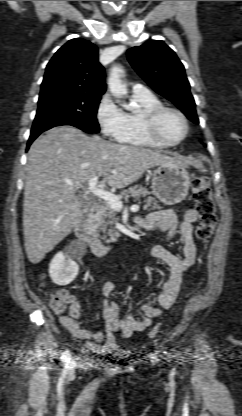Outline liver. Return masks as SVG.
I'll return each instance as SVG.
<instances>
[{
  "label": "liver",
  "instance_id": "obj_1",
  "mask_svg": "<svg viewBox=\"0 0 242 416\" xmlns=\"http://www.w3.org/2000/svg\"><path fill=\"white\" fill-rule=\"evenodd\" d=\"M164 163L184 165L159 151L90 137L73 126L48 130L29 149L23 203L29 261L39 263L71 233L83 208L76 193L92 177L101 176L102 184L112 188H124Z\"/></svg>",
  "mask_w": 242,
  "mask_h": 416
}]
</instances>
